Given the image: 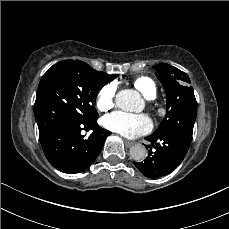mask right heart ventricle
Listing matches in <instances>:
<instances>
[{
  "mask_svg": "<svg viewBox=\"0 0 229 229\" xmlns=\"http://www.w3.org/2000/svg\"><path fill=\"white\" fill-rule=\"evenodd\" d=\"M134 87L142 93V95L151 100L157 95V87L153 80L146 76H138L133 81Z\"/></svg>",
  "mask_w": 229,
  "mask_h": 229,
  "instance_id": "e07e8e85",
  "label": "right heart ventricle"
}]
</instances>
